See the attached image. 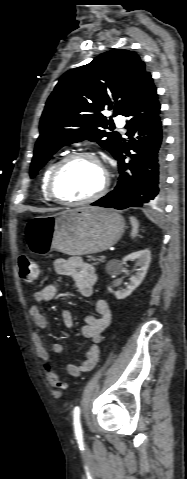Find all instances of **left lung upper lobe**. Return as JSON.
I'll return each instance as SVG.
<instances>
[{
	"label": "left lung upper lobe",
	"instance_id": "1",
	"mask_svg": "<svg viewBox=\"0 0 187 479\" xmlns=\"http://www.w3.org/2000/svg\"><path fill=\"white\" fill-rule=\"evenodd\" d=\"M150 73L139 55L129 50H111L87 65L66 72L49 96L40 121L30 175L45 165L67 144L89 139L116 157L120 135L106 132L112 119L102 114L125 115L138 97Z\"/></svg>",
	"mask_w": 187,
	"mask_h": 479
}]
</instances>
